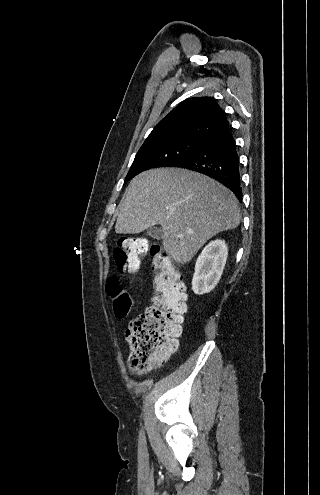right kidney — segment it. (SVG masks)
I'll list each match as a JSON object with an SVG mask.
<instances>
[{"label":"right kidney","mask_w":320,"mask_h":495,"mask_svg":"<svg viewBox=\"0 0 320 495\" xmlns=\"http://www.w3.org/2000/svg\"><path fill=\"white\" fill-rule=\"evenodd\" d=\"M228 256V247L223 240L210 242L202 250L192 280V290L203 295L211 292L221 279Z\"/></svg>","instance_id":"right-kidney-1"}]
</instances>
